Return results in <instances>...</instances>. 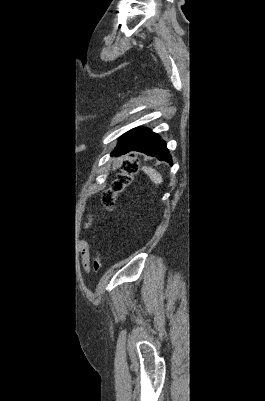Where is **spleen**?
Wrapping results in <instances>:
<instances>
[{
  "instance_id": "obj_1",
  "label": "spleen",
  "mask_w": 265,
  "mask_h": 401,
  "mask_svg": "<svg viewBox=\"0 0 265 401\" xmlns=\"http://www.w3.org/2000/svg\"><path fill=\"white\" fill-rule=\"evenodd\" d=\"M142 170H144L145 174H148L149 178H151L155 184H161V182H163L162 174L157 172L155 168H151V166H142Z\"/></svg>"
}]
</instances>
